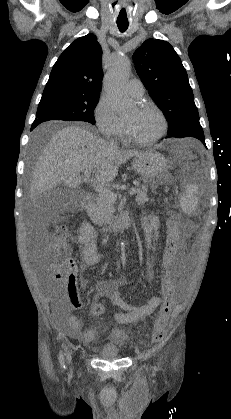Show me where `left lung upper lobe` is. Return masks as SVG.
Wrapping results in <instances>:
<instances>
[{
	"instance_id": "left-lung-upper-lobe-1",
	"label": "left lung upper lobe",
	"mask_w": 231,
	"mask_h": 419,
	"mask_svg": "<svg viewBox=\"0 0 231 419\" xmlns=\"http://www.w3.org/2000/svg\"><path fill=\"white\" fill-rule=\"evenodd\" d=\"M137 74L164 111L168 135L200 128L199 114L185 68L173 47L163 40H146L134 53Z\"/></svg>"
}]
</instances>
